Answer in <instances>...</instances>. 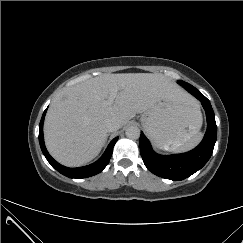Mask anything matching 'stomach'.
Wrapping results in <instances>:
<instances>
[{
  "instance_id": "stomach-1",
  "label": "stomach",
  "mask_w": 243,
  "mask_h": 243,
  "mask_svg": "<svg viewBox=\"0 0 243 243\" xmlns=\"http://www.w3.org/2000/svg\"><path fill=\"white\" fill-rule=\"evenodd\" d=\"M202 123L199 106L189 98L184 102L159 100L141 116V124L155 145L169 150L193 137Z\"/></svg>"
}]
</instances>
